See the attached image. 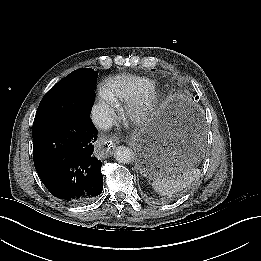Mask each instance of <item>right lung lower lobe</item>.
<instances>
[{
	"mask_svg": "<svg viewBox=\"0 0 261 261\" xmlns=\"http://www.w3.org/2000/svg\"><path fill=\"white\" fill-rule=\"evenodd\" d=\"M97 134L90 114L32 129L35 169L51 194L76 204L102 193Z\"/></svg>",
	"mask_w": 261,
	"mask_h": 261,
	"instance_id": "right-lung-lower-lobe-1",
	"label": "right lung lower lobe"
}]
</instances>
